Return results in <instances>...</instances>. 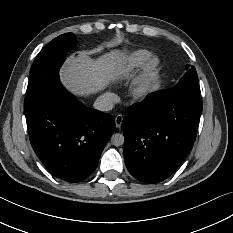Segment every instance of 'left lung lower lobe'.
<instances>
[{
  "label": "left lung lower lobe",
  "instance_id": "left-lung-lower-lobe-1",
  "mask_svg": "<svg viewBox=\"0 0 233 233\" xmlns=\"http://www.w3.org/2000/svg\"><path fill=\"white\" fill-rule=\"evenodd\" d=\"M200 98L148 95L128 108L122 122L124 159L139 181L158 183L180 165L196 139Z\"/></svg>",
  "mask_w": 233,
  "mask_h": 233
}]
</instances>
